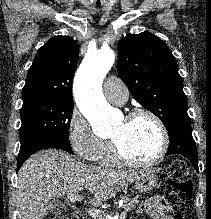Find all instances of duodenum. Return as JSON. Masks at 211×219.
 I'll use <instances>...</instances> for the list:
<instances>
[{"mask_svg":"<svg viewBox=\"0 0 211 219\" xmlns=\"http://www.w3.org/2000/svg\"><path fill=\"white\" fill-rule=\"evenodd\" d=\"M75 219H88L87 217H85L83 214L76 212L74 213Z\"/></svg>","mask_w":211,"mask_h":219,"instance_id":"duodenum-1","label":"duodenum"}]
</instances>
